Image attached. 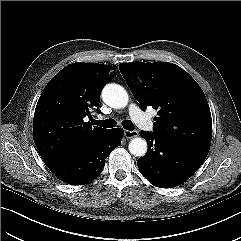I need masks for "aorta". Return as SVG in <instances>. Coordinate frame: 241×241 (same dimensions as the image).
Wrapping results in <instances>:
<instances>
[{
  "instance_id": "1",
  "label": "aorta",
  "mask_w": 241,
  "mask_h": 241,
  "mask_svg": "<svg viewBox=\"0 0 241 241\" xmlns=\"http://www.w3.org/2000/svg\"><path fill=\"white\" fill-rule=\"evenodd\" d=\"M103 101L112 108H124L128 104V93L118 84H107L102 90ZM129 152L137 157H142L147 151V142L145 139L133 138L128 145Z\"/></svg>"
}]
</instances>
